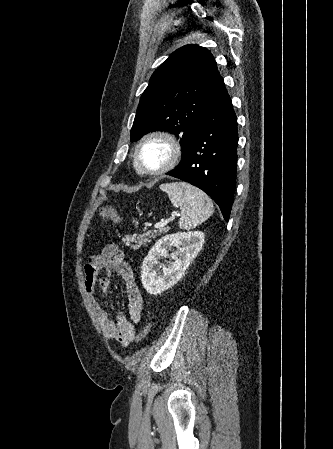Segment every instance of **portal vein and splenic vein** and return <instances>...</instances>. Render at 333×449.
I'll use <instances>...</instances> for the list:
<instances>
[{
    "instance_id": "portal-vein-and-splenic-vein-1",
    "label": "portal vein and splenic vein",
    "mask_w": 333,
    "mask_h": 449,
    "mask_svg": "<svg viewBox=\"0 0 333 449\" xmlns=\"http://www.w3.org/2000/svg\"><path fill=\"white\" fill-rule=\"evenodd\" d=\"M175 215H176V214H173L172 217H170L168 220H162L161 222L156 223V224L154 225V227H155L156 229H158V228H161V227L167 225L170 221H172V220L175 219Z\"/></svg>"
}]
</instances>
